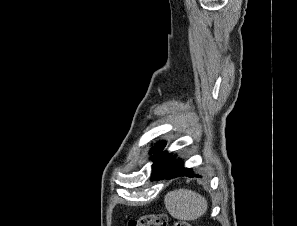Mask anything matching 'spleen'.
Instances as JSON below:
<instances>
[{"instance_id":"3e777b00","label":"spleen","mask_w":297,"mask_h":226,"mask_svg":"<svg viewBox=\"0 0 297 226\" xmlns=\"http://www.w3.org/2000/svg\"><path fill=\"white\" fill-rule=\"evenodd\" d=\"M170 215L179 220L192 221L201 217L208 207L205 197L190 189H176L164 197Z\"/></svg>"}]
</instances>
